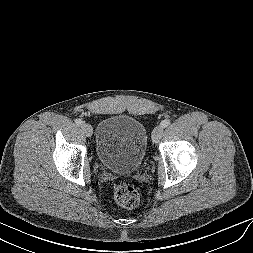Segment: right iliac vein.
Masks as SVG:
<instances>
[{
	"label": "right iliac vein",
	"mask_w": 253,
	"mask_h": 253,
	"mask_svg": "<svg viewBox=\"0 0 253 253\" xmlns=\"http://www.w3.org/2000/svg\"><path fill=\"white\" fill-rule=\"evenodd\" d=\"M81 128L86 136L90 137L93 134V128L90 124L84 123Z\"/></svg>",
	"instance_id": "obj_1"
}]
</instances>
